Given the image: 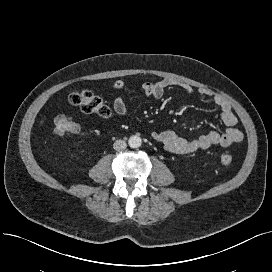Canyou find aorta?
Wrapping results in <instances>:
<instances>
[{"instance_id":"762f6f07","label":"aorta","mask_w":272,"mask_h":272,"mask_svg":"<svg viewBox=\"0 0 272 272\" xmlns=\"http://www.w3.org/2000/svg\"><path fill=\"white\" fill-rule=\"evenodd\" d=\"M128 144L131 148H139L142 144V139L140 136L133 135L129 138Z\"/></svg>"}]
</instances>
